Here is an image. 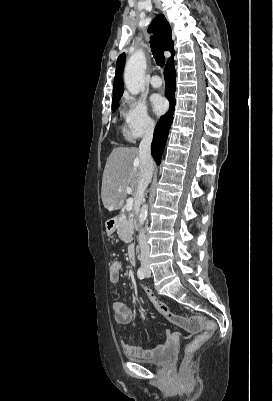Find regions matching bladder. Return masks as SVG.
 Segmentation results:
<instances>
[{"label": "bladder", "mask_w": 273, "mask_h": 401, "mask_svg": "<svg viewBox=\"0 0 273 401\" xmlns=\"http://www.w3.org/2000/svg\"><path fill=\"white\" fill-rule=\"evenodd\" d=\"M172 357H173V351L169 349L163 352L157 359L154 360H141L137 357H132V356H129V359L141 364H148L152 366L162 367L168 364L171 361Z\"/></svg>", "instance_id": "1"}]
</instances>
